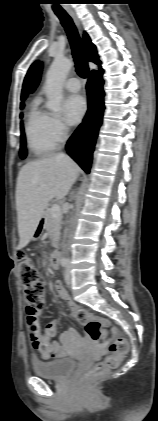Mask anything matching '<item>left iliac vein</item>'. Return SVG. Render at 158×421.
<instances>
[{"instance_id":"4c4485c4","label":"left iliac vein","mask_w":158,"mask_h":421,"mask_svg":"<svg viewBox=\"0 0 158 421\" xmlns=\"http://www.w3.org/2000/svg\"><path fill=\"white\" fill-rule=\"evenodd\" d=\"M64 278H65L66 284L67 285H71V274H70V268H69V266H67V268H66Z\"/></svg>"}]
</instances>
